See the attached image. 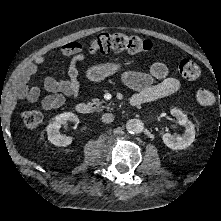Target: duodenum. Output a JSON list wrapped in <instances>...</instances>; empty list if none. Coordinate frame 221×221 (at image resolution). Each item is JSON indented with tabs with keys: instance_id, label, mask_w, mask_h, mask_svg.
Here are the masks:
<instances>
[{
	"instance_id": "obj_1",
	"label": "duodenum",
	"mask_w": 221,
	"mask_h": 221,
	"mask_svg": "<svg viewBox=\"0 0 221 221\" xmlns=\"http://www.w3.org/2000/svg\"><path fill=\"white\" fill-rule=\"evenodd\" d=\"M130 104L132 106H140L144 103L142 102V100L138 96L133 95L130 99ZM76 110L78 113H80L82 115H86V114L90 113L91 107L87 103L82 102L77 105Z\"/></svg>"
}]
</instances>
